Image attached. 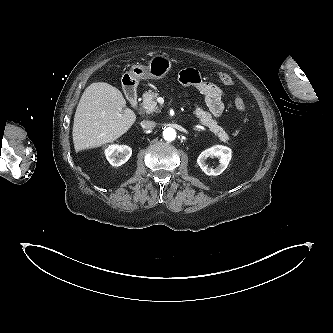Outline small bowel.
<instances>
[{
    "mask_svg": "<svg viewBox=\"0 0 333 333\" xmlns=\"http://www.w3.org/2000/svg\"><path fill=\"white\" fill-rule=\"evenodd\" d=\"M179 81L187 86H194L205 97L209 112L218 117L224 110V92L217 85L206 81L196 69H185L179 74Z\"/></svg>",
    "mask_w": 333,
    "mask_h": 333,
    "instance_id": "small-bowel-1",
    "label": "small bowel"
}]
</instances>
